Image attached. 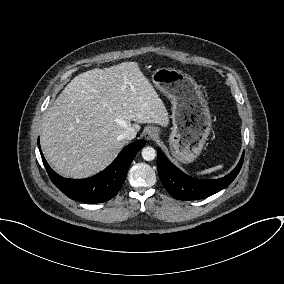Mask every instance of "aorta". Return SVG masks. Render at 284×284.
<instances>
[{
  "label": "aorta",
  "mask_w": 284,
  "mask_h": 284,
  "mask_svg": "<svg viewBox=\"0 0 284 284\" xmlns=\"http://www.w3.org/2000/svg\"><path fill=\"white\" fill-rule=\"evenodd\" d=\"M156 157V151L153 147L147 146L142 149V158L146 161H152Z\"/></svg>",
  "instance_id": "762f6f07"
}]
</instances>
